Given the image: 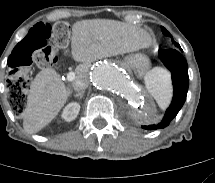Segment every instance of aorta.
I'll list each match as a JSON object with an SVG mask.
<instances>
[{"label": "aorta", "mask_w": 215, "mask_h": 183, "mask_svg": "<svg viewBox=\"0 0 215 183\" xmlns=\"http://www.w3.org/2000/svg\"><path fill=\"white\" fill-rule=\"evenodd\" d=\"M89 77L98 90L124 98L137 111L146 110L147 102L138 86L118 66L99 63L91 69Z\"/></svg>", "instance_id": "obj_1"}]
</instances>
